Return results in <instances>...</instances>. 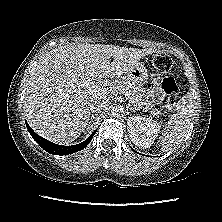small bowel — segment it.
<instances>
[{"mask_svg": "<svg viewBox=\"0 0 222 222\" xmlns=\"http://www.w3.org/2000/svg\"><path fill=\"white\" fill-rule=\"evenodd\" d=\"M150 95L151 97H160L161 96V87H160V81L155 80L151 89H150Z\"/></svg>", "mask_w": 222, "mask_h": 222, "instance_id": "small-bowel-1", "label": "small bowel"}]
</instances>
